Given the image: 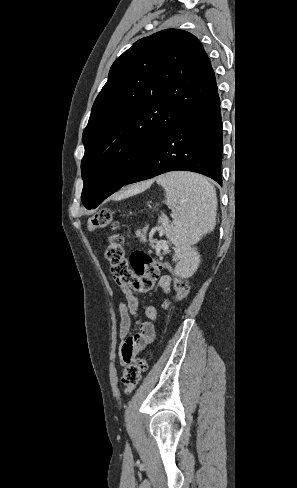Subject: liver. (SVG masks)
<instances>
[{
	"label": "liver",
	"instance_id": "1",
	"mask_svg": "<svg viewBox=\"0 0 297 488\" xmlns=\"http://www.w3.org/2000/svg\"><path fill=\"white\" fill-rule=\"evenodd\" d=\"M150 183H143L137 187V189H145L149 186Z\"/></svg>",
	"mask_w": 297,
	"mask_h": 488
}]
</instances>
